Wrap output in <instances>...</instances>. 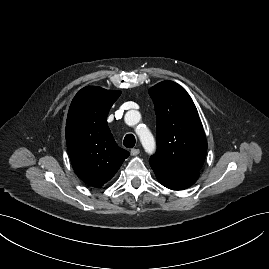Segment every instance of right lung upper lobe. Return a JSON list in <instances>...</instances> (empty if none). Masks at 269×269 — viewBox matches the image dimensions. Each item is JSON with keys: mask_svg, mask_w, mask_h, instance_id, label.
Returning <instances> with one entry per match:
<instances>
[{"mask_svg": "<svg viewBox=\"0 0 269 269\" xmlns=\"http://www.w3.org/2000/svg\"><path fill=\"white\" fill-rule=\"evenodd\" d=\"M120 91L82 88L72 100L66 122V143L73 169L86 184L100 187L118 171L129 152L120 148L107 115Z\"/></svg>", "mask_w": 269, "mask_h": 269, "instance_id": "right-lung-upper-lobe-1", "label": "right lung upper lobe"}]
</instances>
